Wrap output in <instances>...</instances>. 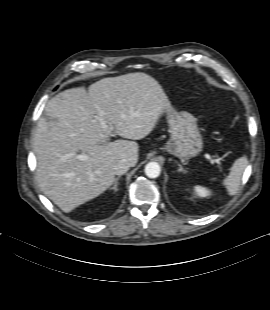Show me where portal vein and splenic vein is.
Listing matches in <instances>:
<instances>
[{
	"instance_id": "1",
	"label": "portal vein and splenic vein",
	"mask_w": 270,
	"mask_h": 310,
	"mask_svg": "<svg viewBox=\"0 0 270 310\" xmlns=\"http://www.w3.org/2000/svg\"><path fill=\"white\" fill-rule=\"evenodd\" d=\"M98 120H99V122L101 123V125L105 128L106 125H105L103 119H102L101 117H99ZM76 157H77V159H79V160H86V159H87V156L84 155V154H79V155H77ZM206 158L209 159V160L211 161L212 164H214V163H219V160H218V159H214V158H212V157L209 156V155H206Z\"/></svg>"
}]
</instances>
